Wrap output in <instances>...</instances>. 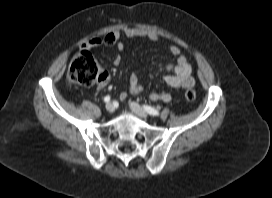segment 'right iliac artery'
I'll return each mask as SVG.
<instances>
[{
  "label": "right iliac artery",
  "mask_w": 272,
  "mask_h": 198,
  "mask_svg": "<svg viewBox=\"0 0 272 198\" xmlns=\"http://www.w3.org/2000/svg\"><path fill=\"white\" fill-rule=\"evenodd\" d=\"M109 101H110V96H108V95L105 96V97H104V102H105V103H108Z\"/></svg>",
  "instance_id": "1"
}]
</instances>
